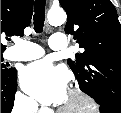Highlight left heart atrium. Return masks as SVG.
<instances>
[{
	"label": "left heart atrium",
	"instance_id": "39dd6f15",
	"mask_svg": "<svg viewBox=\"0 0 121 113\" xmlns=\"http://www.w3.org/2000/svg\"><path fill=\"white\" fill-rule=\"evenodd\" d=\"M20 80L23 89L43 104H61L67 94L66 73L48 61L28 65Z\"/></svg>",
	"mask_w": 121,
	"mask_h": 113
}]
</instances>
